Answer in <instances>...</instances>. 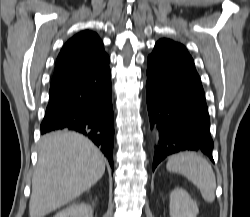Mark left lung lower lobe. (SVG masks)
<instances>
[{
    "label": "left lung lower lobe",
    "instance_id": "left-lung-lower-lobe-1",
    "mask_svg": "<svg viewBox=\"0 0 250 217\" xmlns=\"http://www.w3.org/2000/svg\"><path fill=\"white\" fill-rule=\"evenodd\" d=\"M147 108L157 125L153 170L167 156L186 150L201 151L212 161L210 118L200 77L187 49L161 39L148 56Z\"/></svg>",
    "mask_w": 250,
    "mask_h": 217
}]
</instances>
